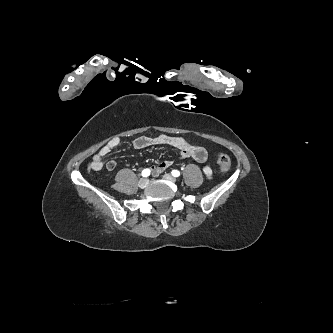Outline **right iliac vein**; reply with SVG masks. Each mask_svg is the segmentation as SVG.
Wrapping results in <instances>:
<instances>
[{"label": "right iliac vein", "instance_id": "1", "mask_svg": "<svg viewBox=\"0 0 333 333\" xmlns=\"http://www.w3.org/2000/svg\"><path fill=\"white\" fill-rule=\"evenodd\" d=\"M149 183V180L146 179V178H143V179H140L139 182H138V186L140 188H145Z\"/></svg>", "mask_w": 333, "mask_h": 333}]
</instances>
